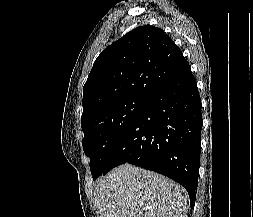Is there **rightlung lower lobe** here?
<instances>
[{"instance_id":"98d812e1","label":"right lung lower lobe","mask_w":253,"mask_h":217,"mask_svg":"<svg viewBox=\"0 0 253 217\" xmlns=\"http://www.w3.org/2000/svg\"><path fill=\"white\" fill-rule=\"evenodd\" d=\"M201 100L189 63L156 90L113 149L106 170L130 163L180 183L194 207L199 175Z\"/></svg>"}]
</instances>
